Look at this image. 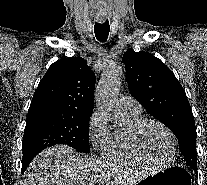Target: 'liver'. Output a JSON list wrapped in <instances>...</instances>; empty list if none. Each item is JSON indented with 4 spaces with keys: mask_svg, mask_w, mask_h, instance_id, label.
Wrapping results in <instances>:
<instances>
[{
    "mask_svg": "<svg viewBox=\"0 0 207 185\" xmlns=\"http://www.w3.org/2000/svg\"><path fill=\"white\" fill-rule=\"evenodd\" d=\"M91 159L67 145H54L41 151L30 163L24 177L25 185H96Z\"/></svg>",
    "mask_w": 207,
    "mask_h": 185,
    "instance_id": "obj_1",
    "label": "liver"
}]
</instances>
